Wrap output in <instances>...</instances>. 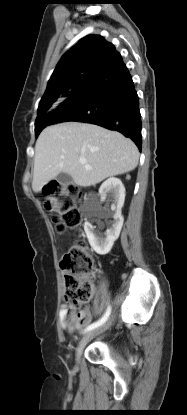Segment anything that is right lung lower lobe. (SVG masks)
I'll use <instances>...</instances> for the list:
<instances>
[{"mask_svg": "<svg viewBox=\"0 0 187 415\" xmlns=\"http://www.w3.org/2000/svg\"><path fill=\"white\" fill-rule=\"evenodd\" d=\"M83 82L81 88L53 112L50 125L66 121L96 124L124 134L141 151L139 97L122 57Z\"/></svg>", "mask_w": 187, "mask_h": 415, "instance_id": "obj_1", "label": "right lung lower lobe"}]
</instances>
